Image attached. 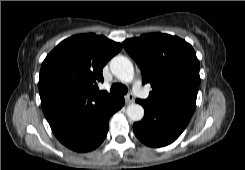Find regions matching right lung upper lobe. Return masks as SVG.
Wrapping results in <instances>:
<instances>
[{
	"label": "right lung upper lobe",
	"instance_id": "obj_1",
	"mask_svg": "<svg viewBox=\"0 0 245 170\" xmlns=\"http://www.w3.org/2000/svg\"><path fill=\"white\" fill-rule=\"evenodd\" d=\"M122 46L95 34L59 43L42 63L39 93L49 125L63 143L75 136L116 96L98 91L102 70Z\"/></svg>",
	"mask_w": 245,
	"mask_h": 170
}]
</instances>
